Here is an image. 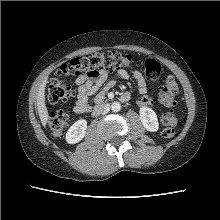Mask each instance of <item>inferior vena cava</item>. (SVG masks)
Listing matches in <instances>:
<instances>
[{
    "label": "inferior vena cava",
    "instance_id": "obj_1",
    "mask_svg": "<svg viewBox=\"0 0 220 220\" xmlns=\"http://www.w3.org/2000/svg\"><path fill=\"white\" fill-rule=\"evenodd\" d=\"M109 105L108 104H106V105H103V106H100V107H97L96 109H95V113H102V114H106V113H108L109 112Z\"/></svg>",
    "mask_w": 220,
    "mask_h": 220
}]
</instances>
